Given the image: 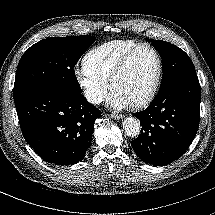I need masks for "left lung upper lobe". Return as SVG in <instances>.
<instances>
[{
	"instance_id": "left-lung-upper-lobe-1",
	"label": "left lung upper lobe",
	"mask_w": 215,
	"mask_h": 215,
	"mask_svg": "<svg viewBox=\"0 0 215 215\" xmlns=\"http://www.w3.org/2000/svg\"><path fill=\"white\" fill-rule=\"evenodd\" d=\"M147 40L152 42L162 58L163 76L159 90L181 78L196 74L193 62L183 50L165 41Z\"/></svg>"
}]
</instances>
